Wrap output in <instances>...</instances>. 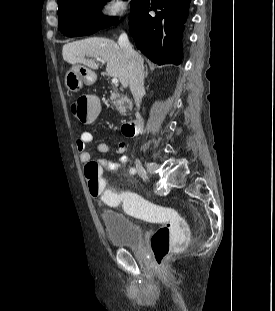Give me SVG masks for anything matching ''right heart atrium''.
Masks as SVG:
<instances>
[{"mask_svg":"<svg viewBox=\"0 0 275 311\" xmlns=\"http://www.w3.org/2000/svg\"><path fill=\"white\" fill-rule=\"evenodd\" d=\"M127 7L126 0H105L101 8V18L107 22H115Z\"/></svg>","mask_w":275,"mask_h":311,"instance_id":"right-heart-atrium-1","label":"right heart atrium"}]
</instances>
